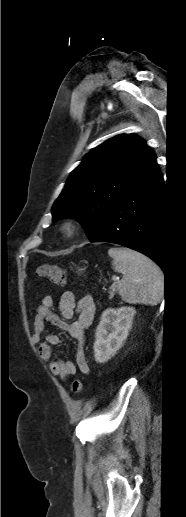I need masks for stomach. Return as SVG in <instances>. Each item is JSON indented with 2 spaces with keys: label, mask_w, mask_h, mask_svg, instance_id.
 <instances>
[{
  "label": "stomach",
  "mask_w": 186,
  "mask_h": 517,
  "mask_svg": "<svg viewBox=\"0 0 186 517\" xmlns=\"http://www.w3.org/2000/svg\"><path fill=\"white\" fill-rule=\"evenodd\" d=\"M83 270H84V269H79L78 271H79V272H82Z\"/></svg>",
  "instance_id": "0dacf381"
}]
</instances>
